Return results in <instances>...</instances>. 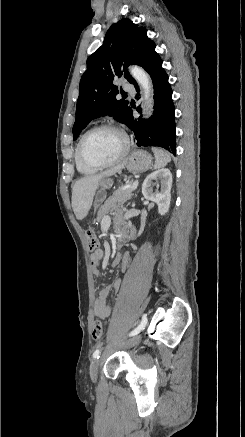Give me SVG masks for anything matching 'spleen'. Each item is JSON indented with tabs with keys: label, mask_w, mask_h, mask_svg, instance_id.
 Masks as SVG:
<instances>
[{
	"label": "spleen",
	"mask_w": 245,
	"mask_h": 437,
	"mask_svg": "<svg viewBox=\"0 0 245 437\" xmlns=\"http://www.w3.org/2000/svg\"><path fill=\"white\" fill-rule=\"evenodd\" d=\"M152 151L155 156L154 169L163 168L171 161V156L168 152L161 148L153 147Z\"/></svg>",
	"instance_id": "3e777b00"
}]
</instances>
